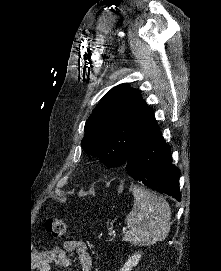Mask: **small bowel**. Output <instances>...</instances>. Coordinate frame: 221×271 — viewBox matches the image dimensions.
<instances>
[{
	"label": "small bowel",
	"mask_w": 221,
	"mask_h": 271,
	"mask_svg": "<svg viewBox=\"0 0 221 271\" xmlns=\"http://www.w3.org/2000/svg\"><path fill=\"white\" fill-rule=\"evenodd\" d=\"M75 252L78 256L80 270L91 271L93 260L87 251V246L83 241L68 240L62 246H57L51 250H46L38 255L39 271H50L51 264L54 263L60 267H70V253Z\"/></svg>",
	"instance_id": "obj_1"
}]
</instances>
